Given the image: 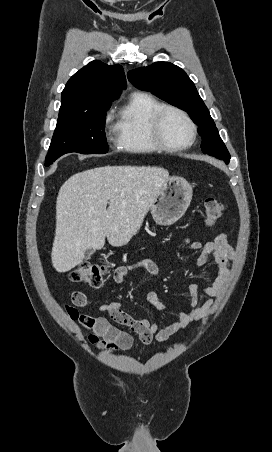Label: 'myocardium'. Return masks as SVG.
<instances>
[{
	"label": "myocardium",
	"mask_w": 272,
	"mask_h": 452,
	"mask_svg": "<svg viewBox=\"0 0 272 452\" xmlns=\"http://www.w3.org/2000/svg\"><path fill=\"white\" fill-rule=\"evenodd\" d=\"M173 111L178 114H180L185 121L187 122L189 128H190V139L183 143L178 145H173L168 143L162 132V120L166 112ZM150 131L152 138L154 142L157 144V146L162 150L167 151H180L189 148L196 140L197 136V126L190 117V115L183 110L180 107L174 106V105H162L152 116L151 122H150Z\"/></svg>",
	"instance_id": "obj_1"
}]
</instances>
